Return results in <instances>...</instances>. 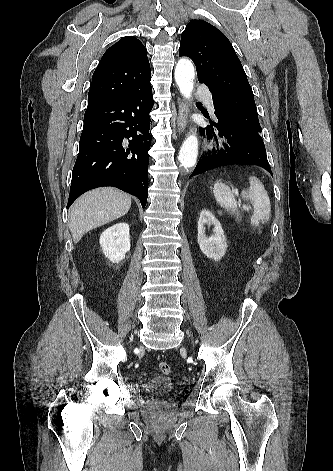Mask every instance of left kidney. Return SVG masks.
<instances>
[{
  "label": "left kidney",
  "mask_w": 333,
  "mask_h": 471,
  "mask_svg": "<svg viewBox=\"0 0 333 471\" xmlns=\"http://www.w3.org/2000/svg\"><path fill=\"white\" fill-rule=\"evenodd\" d=\"M205 224L214 226V235L206 236ZM197 240L202 253L209 259L219 261L226 253L227 241L222 226L207 209L200 212Z\"/></svg>",
  "instance_id": "left-kidney-1"
}]
</instances>
